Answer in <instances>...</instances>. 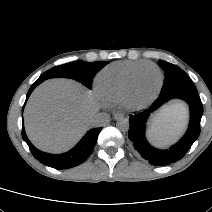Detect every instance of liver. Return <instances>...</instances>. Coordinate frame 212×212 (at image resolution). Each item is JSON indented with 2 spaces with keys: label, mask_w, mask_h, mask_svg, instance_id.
<instances>
[{
  "label": "liver",
  "mask_w": 212,
  "mask_h": 212,
  "mask_svg": "<svg viewBox=\"0 0 212 212\" xmlns=\"http://www.w3.org/2000/svg\"><path fill=\"white\" fill-rule=\"evenodd\" d=\"M98 109L92 92L81 84L67 79L47 80L35 89L26 105L27 135L43 151H67L92 126L91 118ZM185 123V110L174 104L157 114L150 131L174 138Z\"/></svg>",
  "instance_id": "liver-1"
}]
</instances>
